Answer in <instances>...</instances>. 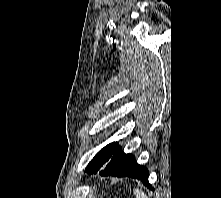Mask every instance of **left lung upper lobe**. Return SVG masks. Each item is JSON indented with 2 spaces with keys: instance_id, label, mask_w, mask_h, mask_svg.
I'll return each mask as SVG.
<instances>
[{
  "instance_id": "1",
  "label": "left lung upper lobe",
  "mask_w": 221,
  "mask_h": 198,
  "mask_svg": "<svg viewBox=\"0 0 221 198\" xmlns=\"http://www.w3.org/2000/svg\"><path fill=\"white\" fill-rule=\"evenodd\" d=\"M120 149V146L113 142L103 149H101L100 152H98L95 157L91 160V162L88 164L86 168V172L88 173H96L99 171L105 163L109 161V159L112 157V155L117 152Z\"/></svg>"
}]
</instances>
